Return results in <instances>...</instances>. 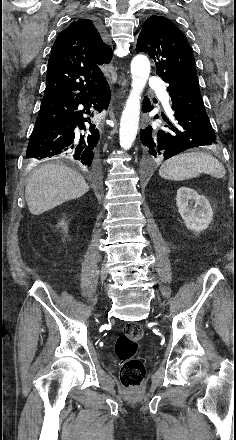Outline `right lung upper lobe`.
Returning a JSON list of instances; mask_svg holds the SVG:
<instances>
[{
    "mask_svg": "<svg viewBox=\"0 0 236 440\" xmlns=\"http://www.w3.org/2000/svg\"><path fill=\"white\" fill-rule=\"evenodd\" d=\"M112 51L88 19L72 22L56 38L48 61L44 96L84 92L105 80L99 66Z\"/></svg>",
    "mask_w": 236,
    "mask_h": 440,
    "instance_id": "right-lung-upper-lobe-1",
    "label": "right lung upper lobe"
}]
</instances>
